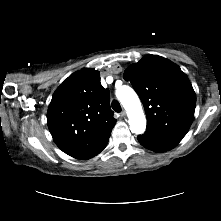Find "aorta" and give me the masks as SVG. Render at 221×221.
Masks as SVG:
<instances>
[{
    "label": "aorta",
    "mask_w": 221,
    "mask_h": 221,
    "mask_svg": "<svg viewBox=\"0 0 221 221\" xmlns=\"http://www.w3.org/2000/svg\"><path fill=\"white\" fill-rule=\"evenodd\" d=\"M116 96L127 112L131 132L135 134L144 133L146 117L135 91L131 87L124 85L116 90Z\"/></svg>",
    "instance_id": "aorta-1"
}]
</instances>
